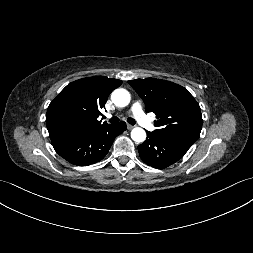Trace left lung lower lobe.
Returning a JSON list of instances; mask_svg holds the SVG:
<instances>
[{"label":"left lung lower lobe","instance_id":"1","mask_svg":"<svg viewBox=\"0 0 253 253\" xmlns=\"http://www.w3.org/2000/svg\"><path fill=\"white\" fill-rule=\"evenodd\" d=\"M145 142L138 146L141 159L148 165L163 169L180 160L191 145L164 138L146 131Z\"/></svg>","mask_w":253,"mask_h":253}]
</instances>
